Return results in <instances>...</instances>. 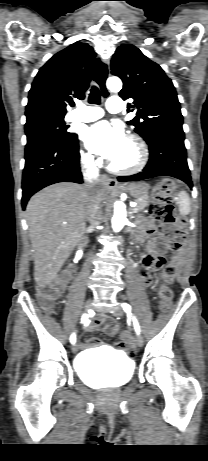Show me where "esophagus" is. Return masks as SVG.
I'll return each mask as SVG.
<instances>
[{
	"label": "esophagus",
	"instance_id": "34e87169",
	"mask_svg": "<svg viewBox=\"0 0 208 461\" xmlns=\"http://www.w3.org/2000/svg\"><path fill=\"white\" fill-rule=\"evenodd\" d=\"M102 63L105 65V67H106V72H107L106 78H105V80L103 81V90H104V92H105L106 94H108V91L105 89V84H106V80H107V78H108V76H109V73H110V65H109V61H102ZM100 180H101L102 185H103L104 187H106V188H109V189L116 187L117 184H118L117 181H116L115 179L110 178L109 176H107V175H105V174H104V175H101Z\"/></svg>",
	"mask_w": 208,
	"mask_h": 461
}]
</instances>
